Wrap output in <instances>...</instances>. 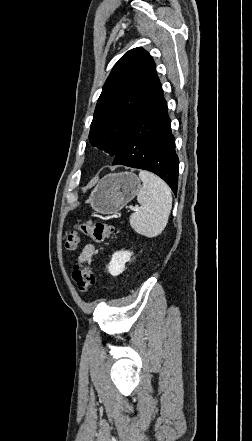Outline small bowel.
Returning <instances> with one entry per match:
<instances>
[{"instance_id": "c3829d8e", "label": "small bowel", "mask_w": 252, "mask_h": 441, "mask_svg": "<svg viewBox=\"0 0 252 441\" xmlns=\"http://www.w3.org/2000/svg\"><path fill=\"white\" fill-rule=\"evenodd\" d=\"M94 254V246L92 244H87L81 251L78 261L79 262H86L91 259V257Z\"/></svg>"}]
</instances>
